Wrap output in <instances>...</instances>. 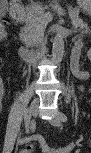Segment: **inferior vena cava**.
<instances>
[{
    "label": "inferior vena cava",
    "mask_w": 91,
    "mask_h": 153,
    "mask_svg": "<svg viewBox=\"0 0 91 153\" xmlns=\"http://www.w3.org/2000/svg\"><path fill=\"white\" fill-rule=\"evenodd\" d=\"M42 36L39 37L41 39ZM41 44H38V47H35V50H32V53H45L46 47H44L43 39L40 40ZM32 63H38V60H47V57H44V54H32ZM44 62V61H43ZM46 62V61H45ZM36 65V64H35Z\"/></svg>",
    "instance_id": "1"
}]
</instances>
